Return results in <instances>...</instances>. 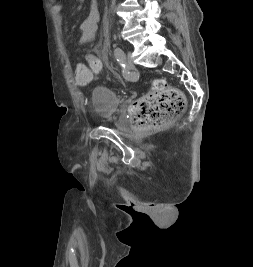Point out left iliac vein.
Instances as JSON below:
<instances>
[{"mask_svg":"<svg viewBox=\"0 0 253 267\" xmlns=\"http://www.w3.org/2000/svg\"><path fill=\"white\" fill-rule=\"evenodd\" d=\"M118 52H120V51L118 50ZM121 53L124 56L125 64H126L127 69L129 71H131L133 69V61H132V59L131 58H128L123 51Z\"/></svg>","mask_w":253,"mask_h":267,"instance_id":"1","label":"left iliac vein"}]
</instances>
